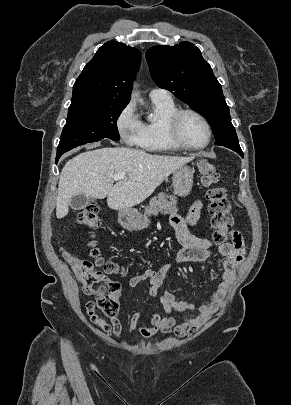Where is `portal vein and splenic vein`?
Segmentation results:
<instances>
[{
    "label": "portal vein and splenic vein",
    "mask_w": 291,
    "mask_h": 405,
    "mask_svg": "<svg viewBox=\"0 0 291 405\" xmlns=\"http://www.w3.org/2000/svg\"><path fill=\"white\" fill-rule=\"evenodd\" d=\"M125 176H126V174L124 172H118V173L114 174L112 176V178L114 180L118 181V180H123L125 178Z\"/></svg>",
    "instance_id": "obj_1"
}]
</instances>
